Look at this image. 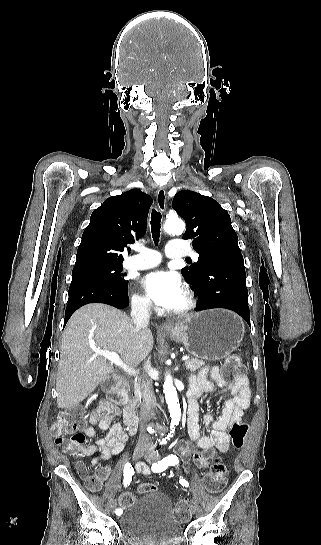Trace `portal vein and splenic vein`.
Wrapping results in <instances>:
<instances>
[{"label": "portal vein and splenic vein", "instance_id": "obj_1", "mask_svg": "<svg viewBox=\"0 0 321 545\" xmlns=\"http://www.w3.org/2000/svg\"><path fill=\"white\" fill-rule=\"evenodd\" d=\"M95 355H101V357H105V359H108V361H111V363H114V365H118V367H122L126 373H129V375H134L135 371H132V369H127V365H124L122 363L119 355L117 353H110V351H95ZM186 358H188V355H184V357H181L182 362H185Z\"/></svg>", "mask_w": 321, "mask_h": 545}]
</instances>
